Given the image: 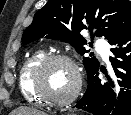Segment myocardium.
Instances as JSON below:
<instances>
[{"instance_id": "myocardium-1", "label": "myocardium", "mask_w": 131, "mask_h": 115, "mask_svg": "<svg viewBox=\"0 0 131 115\" xmlns=\"http://www.w3.org/2000/svg\"><path fill=\"white\" fill-rule=\"evenodd\" d=\"M55 62L67 63L74 71L75 75V85L72 92L63 99L53 98L50 94L43 90L42 86V76L46 68ZM31 86L35 94L45 103L54 107H64L71 104L79 95L82 87V76L77 63L69 56L64 54H50L45 55L39 63L35 66Z\"/></svg>"}]
</instances>
